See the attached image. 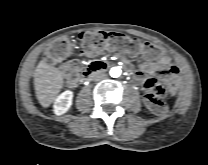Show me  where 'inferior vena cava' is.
<instances>
[{"mask_svg": "<svg viewBox=\"0 0 208 165\" xmlns=\"http://www.w3.org/2000/svg\"><path fill=\"white\" fill-rule=\"evenodd\" d=\"M106 77L105 73L103 72H95L91 75V79L95 81L103 80Z\"/></svg>", "mask_w": 208, "mask_h": 165, "instance_id": "obj_1", "label": "inferior vena cava"}]
</instances>
